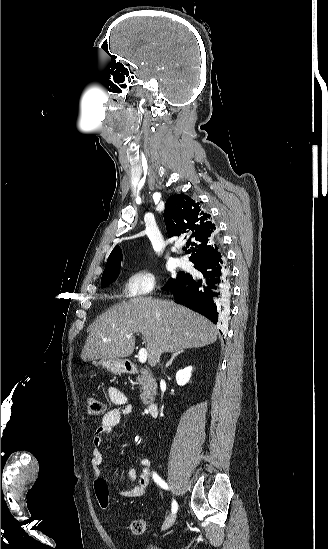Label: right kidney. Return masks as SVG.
Here are the masks:
<instances>
[{
  "label": "right kidney",
  "mask_w": 328,
  "mask_h": 549,
  "mask_svg": "<svg viewBox=\"0 0 328 549\" xmlns=\"http://www.w3.org/2000/svg\"><path fill=\"white\" fill-rule=\"evenodd\" d=\"M192 367H186V369H181L176 373V383L177 385H186L191 377Z\"/></svg>",
  "instance_id": "right-kidney-1"
}]
</instances>
